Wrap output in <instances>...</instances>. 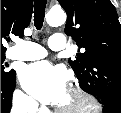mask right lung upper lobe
<instances>
[{"instance_id":"cb5924a9","label":"right lung upper lobe","mask_w":121,"mask_h":113,"mask_svg":"<svg viewBox=\"0 0 121 113\" xmlns=\"http://www.w3.org/2000/svg\"><path fill=\"white\" fill-rule=\"evenodd\" d=\"M32 11L33 0H1V52L6 50L2 40H10L7 35H24V29L30 24Z\"/></svg>"}]
</instances>
